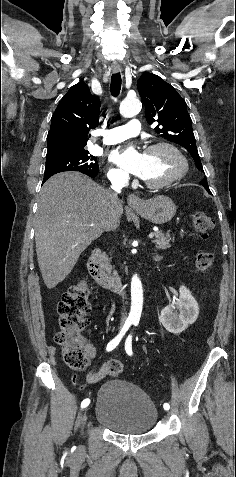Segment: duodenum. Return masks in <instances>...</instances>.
<instances>
[{
    "instance_id": "duodenum-1",
    "label": "duodenum",
    "mask_w": 236,
    "mask_h": 477,
    "mask_svg": "<svg viewBox=\"0 0 236 477\" xmlns=\"http://www.w3.org/2000/svg\"><path fill=\"white\" fill-rule=\"evenodd\" d=\"M88 272L92 279L102 288L124 294L125 288L120 278L108 275L101 262V252L94 249L88 261Z\"/></svg>"
}]
</instances>
